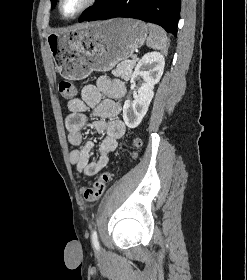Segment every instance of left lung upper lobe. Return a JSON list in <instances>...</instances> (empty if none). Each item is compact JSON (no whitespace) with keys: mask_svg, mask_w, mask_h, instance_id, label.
<instances>
[{"mask_svg":"<svg viewBox=\"0 0 247 280\" xmlns=\"http://www.w3.org/2000/svg\"><path fill=\"white\" fill-rule=\"evenodd\" d=\"M51 1H52L53 4L55 3V0H51ZM107 1H108V0H99L98 3H97L96 5H94L93 7H91L85 14H88V13H90L91 11L95 10L96 8H98V7L102 6V5H104ZM53 4H52V8H54ZM85 14H84V15H85Z\"/></svg>","mask_w":247,"mask_h":280,"instance_id":"obj_1","label":"left lung upper lobe"}]
</instances>
